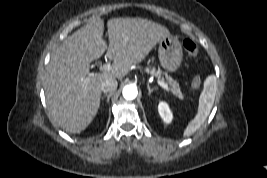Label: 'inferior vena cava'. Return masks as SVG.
<instances>
[{
	"label": "inferior vena cava",
	"instance_id": "602c4592",
	"mask_svg": "<svg viewBox=\"0 0 267 178\" xmlns=\"http://www.w3.org/2000/svg\"><path fill=\"white\" fill-rule=\"evenodd\" d=\"M118 83L115 78H108L101 83V90L104 93L113 94L117 89Z\"/></svg>",
	"mask_w": 267,
	"mask_h": 178
}]
</instances>
